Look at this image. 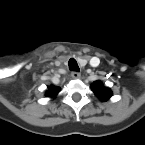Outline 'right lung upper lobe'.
Wrapping results in <instances>:
<instances>
[{"instance_id": "1", "label": "right lung upper lobe", "mask_w": 145, "mask_h": 145, "mask_svg": "<svg viewBox=\"0 0 145 145\" xmlns=\"http://www.w3.org/2000/svg\"><path fill=\"white\" fill-rule=\"evenodd\" d=\"M49 91H47L46 96L48 97H54L56 96V94L58 93V91H56L55 89H57V87H48Z\"/></svg>"}]
</instances>
